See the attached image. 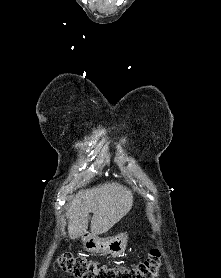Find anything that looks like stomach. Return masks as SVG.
<instances>
[{
	"label": "stomach",
	"mask_w": 221,
	"mask_h": 278,
	"mask_svg": "<svg viewBox=\"0 0 221 278\" xmlns=\"http://www.w3.org/2000/svg\"><path fill=\"white\" fill-rule=\"evenodd\" d=\"M82 241L87 252L103 253L117 257L125 252L128 235L121 233L113 237L99 238L95 234H88L82 237Z\"/></svg>",
	"instance_id": "0dacf381"
}]
</instances>
